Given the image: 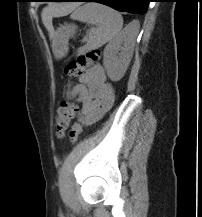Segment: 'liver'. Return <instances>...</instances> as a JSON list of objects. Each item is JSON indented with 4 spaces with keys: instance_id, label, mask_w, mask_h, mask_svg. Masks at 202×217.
I'll list each match as a JSON object with an SVG mask.
<instances>
[{
    "instance_id": "6515ba94",
    "label": "liver",
    "mask_w": 202,
    "mask_h": 217,
    "mask_svg": "<svg viewBox=\"0 0 202 217\" xmlns=\"http://www.w3.org/2000/svg\"><path fill=\"white\" fill-rule=\"evenodd\" d=\"M75 9V5L73 4H64V5H52L46 7L42 11V21L45 27L49 32L52 31V18L65 16L71 13Z\"/></svg>"
}]
</instances>
